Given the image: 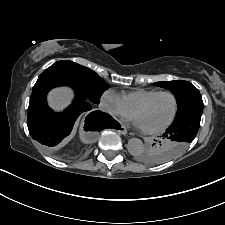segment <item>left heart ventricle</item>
Returning a JSON list of instances; mask_svg holds the SVG:
<instances>
[{
  "mask_svg": "<svg viewBox=\"0 0 225 225\" xmlns=\"http://www.w3.org/2000/svg\"><path fill=\"white\" fill-rule=\"evenodd\" d=\"M173 109V98L167 94L160 95L139 111L136 119L144 129L158 128L169 120Z\"/></svg>",
  "mask_w": 225,
  "mask_h": 225,
  "instance_id": "left-heart-ventricle-1",
  "label": "left heart ventricle"
}]
</instances>
